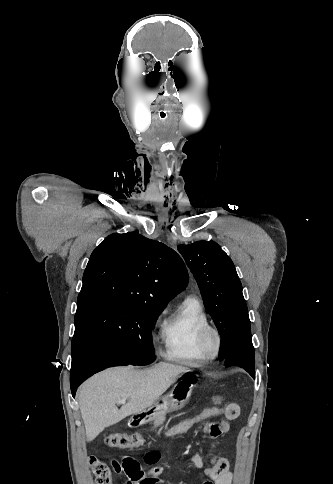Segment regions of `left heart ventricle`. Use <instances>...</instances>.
<instances>
[{"mask_svg":"<svg viewBox=\"0 0 333 484\" xmlns=\"http://www.w3.org/2000/svg\"><path fill=\"white\" fill-rule=\"evenodd\" d=\"M209 348H210L211 351L214 349V343L213 342H210Z\"/></svg>","mask_w":333,"mask_h":484,"instance_id":"obj_1","label":"left heart ventricle"}]
</instances>
